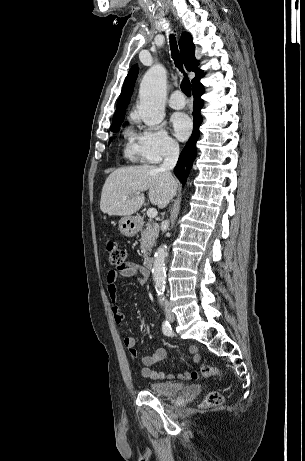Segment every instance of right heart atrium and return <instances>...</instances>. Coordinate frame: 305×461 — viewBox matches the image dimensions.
I'll use <instances>...</instances> for the list:
<instances>
[{
	"label": "right heart atrium",
	"mask_w": 305,
	"mask_h": 461,
	"mask_svg": "<svg viewBox=\"0 0 305 461\" xmlns=\"http://www.w3.org/2000/svg\"><path fill=\"white\" fill-rule=\"evenodd\" d=\"M137 155L147 163H159L179 150L178 143L161 127L142 129L135 135Z\"/></svg>",
	"instance_id": "d8ad5b80"
}]
</instances>
